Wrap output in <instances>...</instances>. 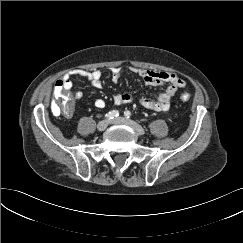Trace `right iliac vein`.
Listing matches in <instances>:
<instances>
[{
  "mask_svg": "<svg viewBox=\"0 0 243 243\" xmlns=\"http://www.w3.org/2000/svg\"><path fill=\"white\" fill-rule=\"evenodd\" d=\"M108 123H109V122H108L107 120L100 121V122L98 123V125H97V129H98L99 131H104V130L107 128Z\"/></svg>",
  "mask_w": 243,
  "mask_h": 243,
  "instance_id": "obj_1",
  "label": "right iliac vein"
}]
</instances>
